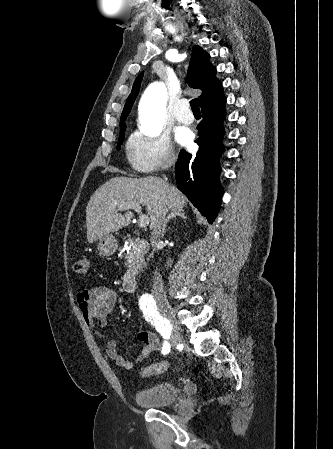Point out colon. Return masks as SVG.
<instances>
[{
    "label": "colon",
    "mask_w": 333,
    "mask_h": 449,
    "mask_svg": "<svg viewBox=\"0 0 333 449\" xmlns=\"http://www.w3.org/2000/svg\"><path fill=\"white\" fill-rule=\"evenodd\" d=\"M90 260L87 256L80 257L73 265V269L76 273L85 275L89 272ZM169 368L167 362H157L149 364L140 370V375L143 377H149L164 373Z\"/></svg>",
    "instance_id": "5ec220e1"
}]
</instances>
